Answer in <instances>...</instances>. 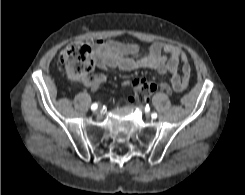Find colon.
<instances>
[{"label":"colon","mask_w":245,"mask_h":195,"mask_svg":"<svg viewBox=\"0 0 245 195\" xmlns=\"http://www.w3.org/2000/svg\"><path fill=\"white\" fill-rule=\"evenodd\" d=\"M58 63L67 77L75 82H84L93 69L90 49L86 45L73 43L63 49ZM157 89L155 82L139 79L134 84V99L138 102L147 100Z\"/></svg>","instance_id":"5ec220e1"}]
</instances>
